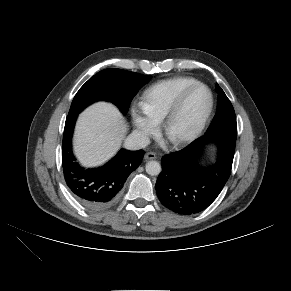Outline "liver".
Masks as SVG:
<instances>
[{"label": "liver", "mask_w": 291, "mask_h": 291, "mask_svg": "<svg viewBox=\"0 0 291 291\" xmlns=\"http://www.w3.org/2000/svg\"><path fill=\"white\" fill-rule=\"evenodd\" d=\"M127 125L119 110L107 102H97L79 116L74 151L83 166H98L111 158L125 137Z\"/></svg>", "instance_id": "liver-1"}]
</instances>
